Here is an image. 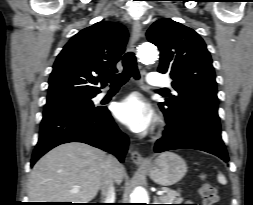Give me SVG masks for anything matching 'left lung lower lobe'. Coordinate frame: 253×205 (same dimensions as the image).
I'll list each match as a JSON object with an SVG mask.
<instances>
[{"instance_id":"1","label":"left lung lower lobe","mask_w":253,"mask_h":205,"mask_svg":"<svg viewBox=\"0 0 253 205\" xmlns=\"http://www.w3.org/2000/svg\"><path fill=\"white\" fill-rule=\"evenodd\" d=\"M165 115L167 126L163 136L155 142L156 153L175 149H197L229 160L221 139L220 119L217 110L195 108L180 116Z\"/></svg>"}]
</instances>
